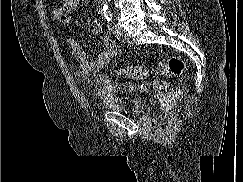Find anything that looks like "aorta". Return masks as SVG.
<instances>
[{
  "mask_svg": "<svg viewBox=\"0 0 243 182\" xmlns=\"http://www.w3.org/2000/svg\"><path fill=\"white\" fill-rule=\"evenodd\" d=\"M102 2L103 5V13L105 15V17L107 19H110L112 17V14L110 12V10L108 9V5H107V0H100Z\"/></svg>",
  "mask_w": 243,
  "mask_h": 182,
  "instance_id": "obj_1",
  "label": "aorta"
}]
</instances>
